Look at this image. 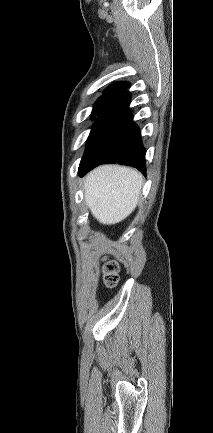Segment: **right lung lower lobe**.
<instances>
[{
    "label": "right lung lower lobe",
    "instance_id": "right-lung-lower-lobe-1",
    "mask_svg": "<svg viewBox=\"0 0 213 433\" xmlns=\"http://www.w3.org/2000/svg\"><path fill=\"white\" fill-rule=\"evenodd\" d=\"M131 94L116 96L95 118L87 148L79 166V175L105 163H119L146 174L145 148L140 130L129 113Z\"/></svg>",
    "mask_w": 213,
    "mask_h": 433
}]
</instances>
